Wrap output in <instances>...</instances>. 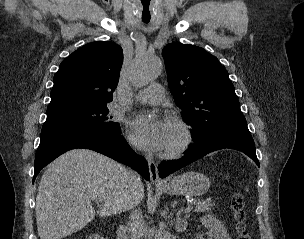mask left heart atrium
Instances as JSON below:
<instances>
[{
  "instance_id": "left-heart-atrium-1",
  "label": "left heart atrium",
  "mask_w": 304,
  "mask_h": 239,
  "mask_svg": "<svg viewBox=\"0 0 304 239\" xmlns=\"http://www.w3.org/2000/svg\"><path fill=\"white\" fill-rule=\"evenodd\" d=\"M174 125L169 118H150L141 114L129 124L130 137L141 148L159 152L166 148Z\"/></svg>"
}]
</instances>
